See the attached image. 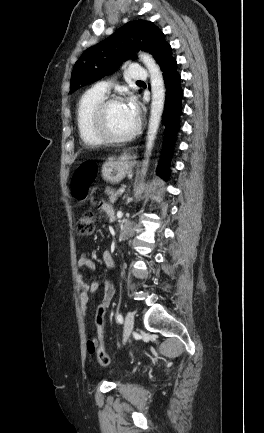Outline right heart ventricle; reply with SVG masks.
<instances>
[{"mask_svg":"<svg viewBox=\"0 0 264 433\" xmlns=\"http://www.w3.org/2000/svg\"><path fill=\"white\" fill-rule=\"evenodd\" d=\"M105 95L94 89L86 91L78 101L76 125L81 141L86 145H98L102 141L91 128V117L96 106L105 99Z\"/></svg>","mask_w":264,"mask_h":433,"instance_id":"right-heart-ventricle-1","label":"right heart ventricle"}]
</instances>
